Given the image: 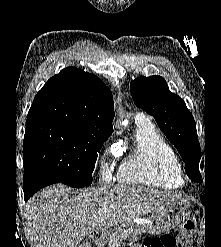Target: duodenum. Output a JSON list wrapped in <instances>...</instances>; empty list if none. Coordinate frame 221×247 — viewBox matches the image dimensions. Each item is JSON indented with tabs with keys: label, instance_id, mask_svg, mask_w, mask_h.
Here are the masks:
<instances>
[{
	"label": "duodenum",
	"instance_id": "obj_1",
	"mask_svg": "<svg viewBox=\"0 0 221 247\" xmlns=\"http://www.w3.org/2000/svg\"><path fill=\"white\" fill-rule=\"evenodd\" d=\"M89 237L96 245H101V233L99 231H92Z\"/></svg>",
	"mask_w": 221,
	"mask_h": 247
}]
</instances>
